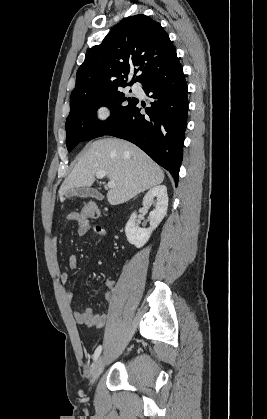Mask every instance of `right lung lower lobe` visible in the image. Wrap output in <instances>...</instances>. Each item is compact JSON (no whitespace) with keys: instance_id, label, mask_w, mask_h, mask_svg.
<instances>
[{"instance_id":"1","label":"right lung lower lobe","mask_w":267,"mask_h":419,"mask_svg":"<svg viewBox=\"0 0 267 419\" xmlns=\"http://www.w3.org/2000/svg\"><path fill=\"white\" fill-rule=\"evenodd\" d=\"M143 90L153 98L152 106L141 114L137 99L129 112L106 134L128 140L156 163L168 170L176 186L183 159L187 127L188 87L179 61L154 71L142 81Z\"/></svg>"}]
</instances>
